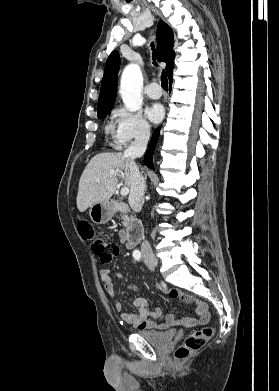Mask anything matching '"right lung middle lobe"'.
Instances as JSON below:
<instances>
[{
    "label": "right lung middle lobe",
    "instance_id": "1",
    "mask_svg": "<svg viewBox=\"0 0 279 391\" xmlns=\"http://www.w3.org/2000/svg\"><path fill=\"white\" fill-rule=\"evenodd\" d=\"M109 112H110V109H105L101 112H98V118H104Z\"/></svg>",
    "mask_w": 279,
    "mask_h": 391
}]
</instances>
